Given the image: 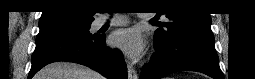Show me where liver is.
<instances>
[{
  "instance_id": "obj_1",
  "label": "liver",
  "mask_w": 255,
  "mask_h": 79,
  "mask_svg": "<svg viewBox=\"0 0 255 79\" xmlns=\"http://www.w3.org/2000/svg\"><path fill=\"white\" fill-rule=\"evenodd\" d=\"M34 79H104L90 68L71 62H54L41 69Z\"/></svg>"
}]
</instances>
